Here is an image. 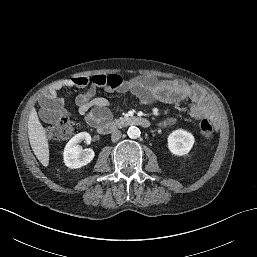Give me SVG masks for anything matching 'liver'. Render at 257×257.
<instances>
[{
    "instance_id": "1",
    "label": "liver",
    "mask_w": 257,
    "mask_h": 257,
    "mask_svg": "<svg viewBox=\"0 0 257 257\" xmlns=\"http://www.w3.org/2000/svg\"><path fill=\"white\" fill-rule=\"evenodd\" d=\"M28 136L31 148L40 163L47 167L49 164V144L46 132L39 121L35 108L31 109L28 119Z\"/></svg>"
}]
</instances>
